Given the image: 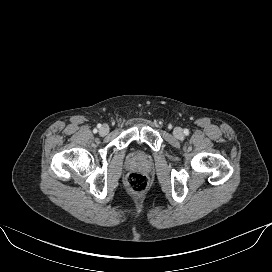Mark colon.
Wrapping results in <instances>:
<instances>
[{"label": "colon", "mask_w": 272, "mask_h": 272, "mask_svg": "<svg viewBox=\"0 0 272 272\" xmlns=\"http://www.w3.org/2000/svg\"><path fill=\"white\" fill-rule=\"evenodd\" d=\"M125 183L129 191L140 194L146 191L149 181L144 174L132 172L127 175Z\"/></svg>", "instance_id": "colon-1"}]
</instances>
